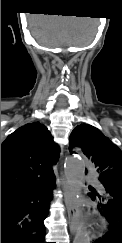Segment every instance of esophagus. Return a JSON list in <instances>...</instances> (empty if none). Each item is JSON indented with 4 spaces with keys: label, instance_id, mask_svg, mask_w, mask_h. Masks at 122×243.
I'll return each mask as SVG.
<instances>
[{
    "label": "esophagus",
    "instance_id": "obj_1",
    "mask_svg": "<svg viewBox=\"0 0 122 243\" xmlns=\"http://www.w3.org/2000/svg\"><path fill=\"white\" fill-rule=\"evenodd\" d=\"M64 201L68 214L69 228L74 233L78 226L77 211L73 202V194L67 184L64 185Z\"/></svg>",
    "mask_w": 122,
    "mask_h": 243
}]
</instances>
